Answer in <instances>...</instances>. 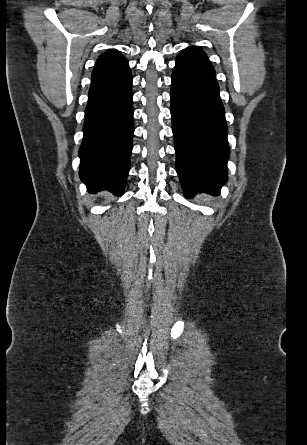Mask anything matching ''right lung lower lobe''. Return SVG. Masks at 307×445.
Here are the masks:
<instances>
[{"instance_id":"right-lung-lower-lobe-1","label":"right lung lower lobe","mask_w":307,"mask_h":445,"mask_svg":"<svg viewBox=\"0 0 307 445\" xmlns=\"http://www.w3.org/2000/svg\"><path fill=\"white\" fill-rule=\"evenodd\" d=\"M91 80L79 175L90 193L106 189L120 196L126 185L134 132L128 62Z\"/></svg>"}]
</instances>
